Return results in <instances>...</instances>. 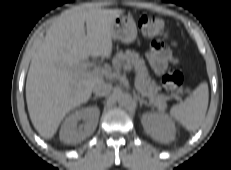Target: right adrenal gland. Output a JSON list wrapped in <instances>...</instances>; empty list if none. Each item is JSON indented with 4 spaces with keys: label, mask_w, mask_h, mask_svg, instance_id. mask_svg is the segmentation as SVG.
I'll return each mask as SVG.
<instances>
[{
    "label": "right adrenal gland",
    "mask_w": 231,
    "mask_h": 170,
    "mask_svg": "<svg viewBox=\"0 0 231 170\" xmlns=\"http://www.w3.org/2000/svg\"><path fill=\"white\" fill-rule=\"evenodd\" d=\"M98 98H99L98 96H94V97H93L94 100H97Z\"/></svg>",
    "instance_id": "right-adrenal-gland-1"
}]
</instances>
